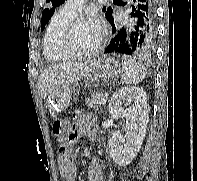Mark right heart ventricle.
<instances>
[{
  "mask_svg": "<svg viewBox=\"0 0 197 181\" xmlns=\"http://www.w3.org/2000/svg\"><path fill=\"white\" fill-rule=\"evenodd\" d=\"M76 15L63 6L50 19L43 42V54L47 61L57 63L68 59L59 49V38L66 24Z\"/></svg>",
  "mask_w": 197,
  "mask_h": 181,
  "instance_id": "right-heart-ventricle-1",
  "label": "right heart ventricle"
}]
</instances>
